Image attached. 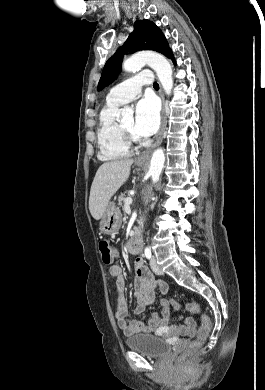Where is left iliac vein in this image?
<instances>
[{
	"instance_id": "left-iliac-vein-1",
	"label": "left iliac vein",
	"mask_w": 265,
	"mask_h": 390,
	"mask_svg": "<svg viewBox=\"0 0 265 390\" xmlns=\"http://www.w3.org/2000/svg\"><path fill=\"white\" fill-rule=\"evenodd\" d=\"M150 265H151V268H152L154 273H156L158 275H162L163 274V271L161 270V268L157 264V261H156L155 257L151 258Z\"/></svg>"
}]
</instances>
